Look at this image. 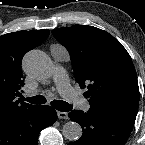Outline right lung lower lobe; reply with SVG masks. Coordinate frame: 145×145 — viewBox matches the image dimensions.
Wrapping results in <instances>:
<instances>
[{"label":"right lung lower lobe","mask_w":145,"mask_h":145,"mask_svg":"<svg viewBox=\"0 0 145 145\" xmlns=\"http://www.w3.org/2000/svg\"><path fill=\"white\" fill-rule=\"evenodd\" d=\"M57 120L50 106H31L0 121V145H37L42 129Z\"/></svg>","instance_id":"98d812e1"}]
</instances>
